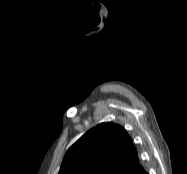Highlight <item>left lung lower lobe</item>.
<instances>
[{
    "mask_svg": "<svg viewBox=\"0 0 187 174\" xmlns=\"http://www.w3.org/2000/svg\"><path fill=\"white\" fill-rule=\"evenodd\" d=\"M137 174H148L144 171V169L141 172H137Z\"/></svg>",
    "mask_w": 187,
    "mask_h": 174,
    "instance_id": "1",
    "label": "left lung lower lobe"
}]
</instances>
